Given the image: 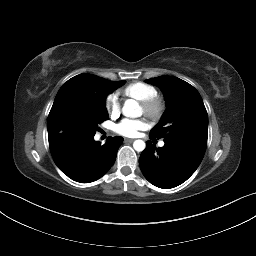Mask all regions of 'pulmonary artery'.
Segmentation results:
<instances>
[{
  "instance_id": "obj_1",
  "label": "pulmonary artery",
  "mask_w": 256,
  "mask_h": 256,
  "mask_svg": "<svg viewBox=\"0 0 256 256\" xmlns=\"http://www.w3.org/2000/svg\"><path fill=\"white\" fill-rule=\"evenodd\" d=\"M159 146H160V147H163V146H164V142L161 141V142L159 143Z\"/></svg>"
}]
</instances>
